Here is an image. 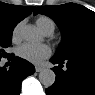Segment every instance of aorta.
I'll return each mask as SVG.
<instances>
[{
  "instance_id": "aorta-1",
  "label": "aorta",
  "mask_w": 95,
  "mask_h": 95,
  "mask_svg": "<svg viewBox=\"0 0 95 95\" xmlns=\"http://www.w3.org/2000/svg\"><path fill=\"white\" fill-rule=\"evenodd\" d=\"M22 37L26 41H35L38 39L39 35L33 26H25L21 31ZM56 79V75L51 69H44L39 73V81L45 87H51Z\"/></svg>"
}]
</instances>
